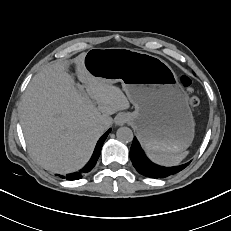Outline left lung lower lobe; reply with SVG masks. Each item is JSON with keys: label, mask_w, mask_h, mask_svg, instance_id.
Wrapping results in <instances>:
<instances>
[{"label": "left lung lower lobe", "mask_w": 231, "mask_h": 231, "mask_svg": "<svg viewBox=\"0 0 231 231\" xmlns=\"http://www.w3.org/2000/svg\"><path fill=\"white\" fill-rule=\"evenodd\" d=\"M130 158L135 169L142 175L150 178H165L176 174L186 168L190 162L174 167H162L153 164L144 154L139 142L134 137L131 149Z\"/></svg>", "instance_id": "obj_1"}]
</instances>
